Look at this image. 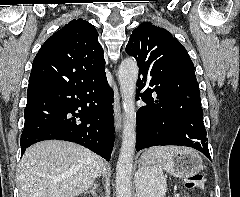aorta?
I'll use <instances>...</instances> for the list:
<instances>
[{
    "label": "aorta",
    "mask_w": 240,
    "mask_h": 197,
    "mask_svg": "<svg viewBox=\"0 0 240 197\" xmlns=\"http://www.w3.org/2000/svg\"><path fill=\"white\" fill-rule=\"evenodd\" d=\"M138 72V65L131 58L124 59L118 70L124 110V128L116 167V197H132L131 176L136 144L135 91Z\"/></svg>",
    "instance_id": "aorta-1"
}]
</instances>
